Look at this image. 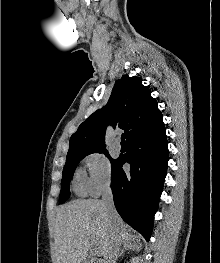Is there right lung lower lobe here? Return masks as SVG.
Returning a JSON list of instances; mask_svg holds the SVG:
<instances>
[{
  "instance_id": "obj_1",
  "label": "right lung lower lobe",
  "mask_w": 220,
  "mask_h": 263,
  "mask_svg": "<svg viewBox=\"0 0 220 263\" xmlns=\"http://www.w3.org/2000/svg\"><path fill=\"white\" fill-rule=\"evenodd\" d=\"M168 143L165 128L143 133L127 142V153L112 164V191L115 207L122 219L148 241L154 214L167 173ZM127 162L129 172L122 169Z\"/></svg>"
}]
</instances>
